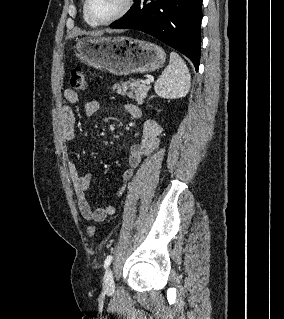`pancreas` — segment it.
I'll list each match as a JSON object with an SVG mask.
<instances>
[{
	"mask_svg": "<svg viewBox=\"0 0 284 319\" xmlns=\"http://www.w3.org/2000/svg\"><path fill=\"white\" fill-rule=\"evenodd\" d=\"M113 89L116 90L118 94L127 95L129 98L135 99L138 104H142L150 86L142 80L131 79L130 81L114 85ZM128 89L130 90L129 92H127Z\"/></svg>",
	"mask_w": 284,
	"mask_h": 319,
	"instance_id": "1",
	"label": "pancreas"
}]
</instances>
